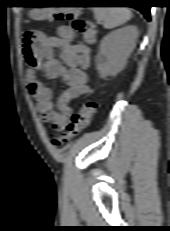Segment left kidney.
Masks as SVG:
<instances>
[{
	"label": "left kidney",
	"instance_id": "1",
	"mask_svg": "<svg viewBox=\"0 0 170 231\" xmlns=\"http://www.w3.org/2000/svg\"><path fill=\"white\" fill-rule=\"evenodd\" d=\"M138 29L129 25L106 35L95 58L100 77L115 76L121 72L136 46Z\"/></svg>",
	"mask_w": 170,
	"mask_h": 231
}]
</instances>
